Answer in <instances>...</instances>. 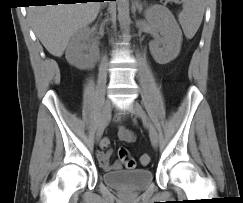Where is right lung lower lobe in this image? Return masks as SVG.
I'll use <instances>...</instances> for the list:
<instances>
[{
    "label": "right lung lower lobe",
    "mask_w": 243,
    "mask_h": 203,
    "mask_svg": "<svg viewBox=\"0 0 243 203\" xmlns=\"http://www.w3.org/2000/svg\"><path fill=\"white\" fill-rule=\"evenodd\" d=\"M62 2L61 3H75L74 1L76 0H61ZM81 1H86V0H81ZM97 1H104V0H97ZM112 1V0H111ZM116 1V0H114ZM87 3V2H86ZM40 5V4H39Z\"/></svg>",
    "instance_id": "1"
}]
</instances>
